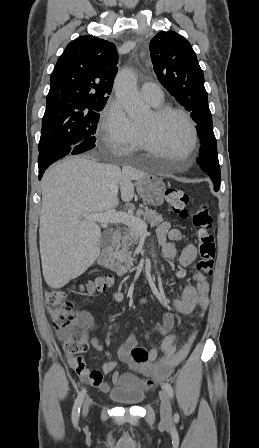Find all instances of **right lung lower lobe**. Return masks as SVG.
<instances>
[{"label":"right lung lower lobe","mask_w":259,"mask_h":448,"mask_svg":"<svg viewBox=\"0 0 259 448\" xmlns=\"http://www.w3.org/2000/svg\"><path fill=\"white\" fill-rule=\"evenodd\" d=\"M67 154H72V148H61V149H51L40 151L38 157L39 163V180L42 178L45 170L55 161L61 159Z\"/></svg>","instance_id":"right-lung-lower-lobe-1"}]
</instances>
